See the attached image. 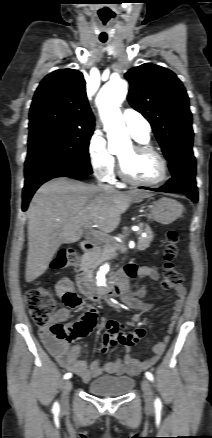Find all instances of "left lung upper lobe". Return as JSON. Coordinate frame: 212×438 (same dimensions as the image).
<instances>
[{
	"instance_id": "obj_1",
	"label": "left lung upper lobe",
	"mask_w": 212,
	"mask_h": 438,
	"mask_svg": "<svg viewBox=\"0 0 212 438\" xmlns=\"http://www.w3.org/2000/svg\"><path fill=\"white\" fill-rule=\"evenodd\" d=\"M128 101L150 122L167 160L192 149V114L185 88L177 76L164 67L145 63L130 69Z\"/></svg>"
}]
</instances>
